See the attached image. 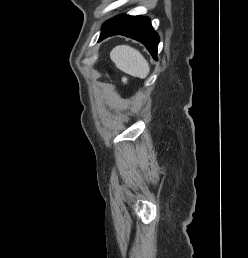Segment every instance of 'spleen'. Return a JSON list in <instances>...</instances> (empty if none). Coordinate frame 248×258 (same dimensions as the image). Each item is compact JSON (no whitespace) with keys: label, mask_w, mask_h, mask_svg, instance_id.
Here are the masks:
<instances>
[{"label":"spleen","mask_w":248,"mask_h":258,"mask_svg":"<svg viewBox=\"0 0 248 258\" xmlns=\"http://www.w3.org/2000/svg\"><path fill=\"white\" fill-rule=\"evenodd\" d=\"M110 58L118 69L133 77L145 79L150 72L149 63L144 56L128 45L113 48Z\"/></svg>","instance_id":"spleen-1"}]
</instances>
